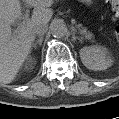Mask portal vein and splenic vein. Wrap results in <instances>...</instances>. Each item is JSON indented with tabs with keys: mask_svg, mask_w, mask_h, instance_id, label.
Returning <instances> with one entry per match:
<instances>
[{
	"mask_svg": "<svg viewBox=\"0 0 119 119\" xmlns=\"http://www.w3.org/2000/svg\"><path fill=\"white\" fill-rule=\"evenodd\" d=\"M23 18H24V22H23V24H25V21H27V20H28V18H29L28 11H26V12H25V14H24V17H23ZM23 24H22V25H23ZM19 30H20V28H18L16 31H19Z\"/></svg>",
	"mask_w": 119,
	"mask_h": 119,
	"instance_id": "18ae733b",
	"label": "portal vein and splenic vein"
}]
</instances>
